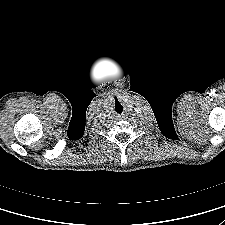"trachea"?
I'll return each mask as SVG.
<instances>
[{
  "label": "trachea",
  "mask_w": 225,
  "mask_h": 225,
  "mask_svg": "<svg viewBox=\"0 0 225 225\" xmlns=\"http://www.w3.org/2000/svg\"><path fill=\"white\" fill-rule=\"evenodd\" d=\"M115 110L117 113H122L123 111V106L118 101L115 102Z\"/></svg>",
  "instance_id": "1"
}]
</instances>
